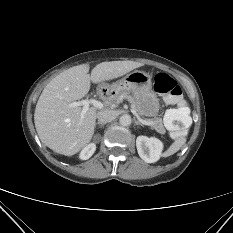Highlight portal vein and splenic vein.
<instances>
[{"instance_id": "portal-vein-and-splenic-vein-1", "label": "portal vein and splenic vein", "mask_w": 233, "mask_h": 233, "mask_svg": "<svg viewBox=\"0 0 233 233\" xmlns=\"http://www.w3.org/2000/svg\"><path fill=\"white\" fill-rule=\"evenodd\" d=\"M93 105L95 108L97 109H102L103 108V104L96 100V99H85V100H81L78 102H73L69 104V107L71 108H75V107H79V106H83L82 108V112H81V118H84V114L86 113V111L88 110L89 106ZM131 112L145 125H153L154 122L151 120H143L139 117V115L137 114V112L135 111V109H131Z\"/></svg>"}]
</instances>
